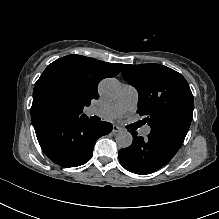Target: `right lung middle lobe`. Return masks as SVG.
<instances>
[{
	"label": "right lung middle lobe",
	"mask_w": 219,
	"mask_h": 219,
	"mask_svg": "<svg viewBox=\"0 0 219 219\" xmlns=\"http://www.w3.org/2000/svg\"><path fill=\"white\" fill-rule=\"evenodd\" d=\"M66 101L58 94H52L48 97L46 101L47 110L52 116H64Z\"/></svg>",
	"instance_id": "1"
}]
</instances>
